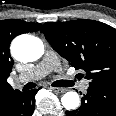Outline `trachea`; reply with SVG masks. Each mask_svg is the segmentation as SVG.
<instances>
[{"label":"trachea","mask_w":116,"mask_h":116,"mask_svg":"<svg viewBox=\"0 0 116 116\" xmlns=\"http://www.w3.org/2000/svg\"><path fill=\"white\" fill-rule=\"evenodd\" d=\"M74 82L71 80H57L52 83L53 87H70L73 86ZM36 87V84L33 82H30L24 86V90H29Z\"/></svg>","instance_id":"trachea-1"}]
</instances>
